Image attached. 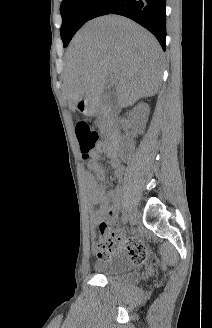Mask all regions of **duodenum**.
<instances>
[{
  "label": "duodenum",
  "mask_w": 212,
  "mask_h": 328,
  "mask_svg": "<svg viewBox=\"0 0 212 328\" xmlns=\"http://www.w3.org/2000/svg\"><path fill=\"white\" fill-rule=\"evenodd\" d=\"M82 104L88 113L91 114L104 113L109 117L112 116V113L109 109L102 108L95 101H83ZM119 150H120L119 133L117 131H112L106 139L104 152L107 153V155L113 158L114 160H117L119 156Z\"/></svg>",
  "instance_id": "410a0bca"
}]
</instances>
